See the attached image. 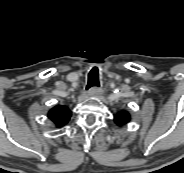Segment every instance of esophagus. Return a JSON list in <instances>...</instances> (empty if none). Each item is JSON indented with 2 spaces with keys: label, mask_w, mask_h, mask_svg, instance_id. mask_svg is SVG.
Wrapping results in <instances>:
<instances>
[{
  "label": "esophagus",
  "mask_w": 184,
  "mask_h": 173,
  "mask_svg": "<svg viewBox=\"0 0 184 173\" xmlns=\"http://www.w3.org/2000/svg\"><path fill=\"white\" fill-rule=\"evenodd\" d=\"M101 94V90L98 88H91L90 90L87 91L88 96L96 97Z\"/></svg>",
  "instance_id": "34e87169"
}]
</instances>
